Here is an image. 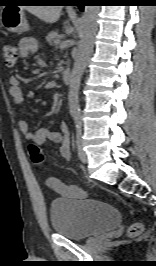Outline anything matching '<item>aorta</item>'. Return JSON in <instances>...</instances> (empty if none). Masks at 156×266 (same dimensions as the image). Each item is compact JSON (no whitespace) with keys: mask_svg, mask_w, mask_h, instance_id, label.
I'll return each mask as SVG.
<instances>
[{"mask_svg":"<svg viewBox=\"0 0 156 266\" xmlns=\"http://www.w3.org/2000/svg\"><path fill=\"white\" fill-rule=\"evenodd\" d=\"M98 13L99 6H85L82 16L81 39L79 41L78 51L69 81V111L73 116L80 114L79 89L81 77L93 52L95 35L97 32Z\"/></svg>","mask_w":156,"mask_h":266,"instance_id":"1","label":"aorta"}]
</instances>
